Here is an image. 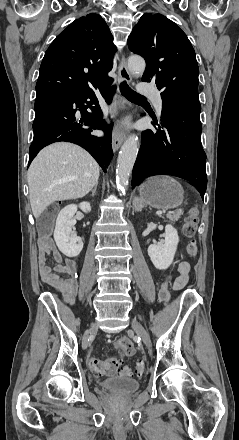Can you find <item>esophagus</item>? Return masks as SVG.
Returning <instances> with one entry per match:
<instances>
[{"label":"esophagus","instance_id":"obj_1","mask_svg":"<svg viewBox=\"0 0 239 440\" xmlns=\"http://www.w3.org/2000/svg\"><path fill=\"white\" fill-rule=\"evenodd\" d=\"M118 73L120 75V77L122 78V80H125L126 82L130 83L132 78L131 75L128 71V68L126 66V62L124 57L122 58L120 64H119V68H118ZM126 138L125 133L115 129L112 135V147H113V151L116 152L119 147L122 145V143L124 142Z\"/></svg>","mask_w":239,"mask_h":440}]
</instances>
